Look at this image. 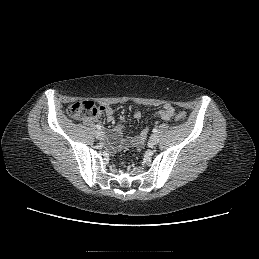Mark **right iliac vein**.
Instances as JSON below:
<instances>
[{
	"instance_id": "obj_1",
	"label": "right iliac vein",
	"mask_w": 259,
	"mask_h": 259,
	"mask_svg": "<svg viewBox=\"0 0 259 259\" xmlns=\"http://www.w3.org/2000/svg\"><path fill=\"white\" fill-rule=\"evenodd\" d=\"M95 136H96V138H97L98 140H101V139H103V137H104V133H103L102 130H98V131H96Z\"/></svg>"
}]
</instances>
